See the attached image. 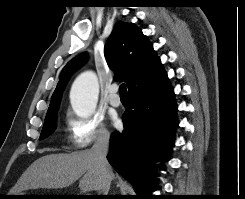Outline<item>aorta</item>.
Listing matches in <instances>:
<instances>
[{
	"label": "aorta",
	"instance_id": "762f6f07",
	"mask_svg": "<svg viewBox=\"0 0 245 199\" xmlns=\"http://www.w3.org/2000/svg\"><path fill=\"white\" fill-rule=\"evenodd\" d=\"M98 94L97 76L91 71L80 74L74 81L70 92L73 110L81 117L91 116L96 109Z\"/></svg>",
	"mask_w": 245,
	"mask_h": 199
}]
</instances>
